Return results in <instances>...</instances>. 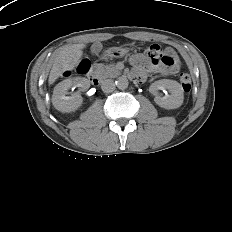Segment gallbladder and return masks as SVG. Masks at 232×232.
I'll return each mask as SVG.
<instances>
[{"label":"gallbladder","instance_id":"gallbladder-1","mask_svg":"<svg viewBox=\"0 0 232 232\" xmlns=\"http://www.w3.org/2000/svg\"><path fill=\"white\" fill-rule=\"evenodd\" d=\"M102 50V45L100 43H94L91 46V52L94 54H97L98 52H100Z\"/></svg>","mask_w":232,"mask_h":232}]
</instances>
